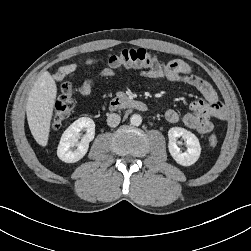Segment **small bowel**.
Segmentation results:
<instances>
[{"instance_id":"1","label":"small bowel","mask_w":251,"mask_h":251,"mask_svg":"<svg viewBox=\"0 0 251 251\" xmlns=\"http://www.w3.org/2000/svg\"><path fill=\"white\" fill-rule=\"evenodd\" d=\"M93 62L91 59L87 60L89 65ZM76 68L77 65L74 63L62 66L55 74L56 81H61ZM109 74V71H104L98 77L85 81L78 88L79 93L84 96L91 94L96 80ZM140 75L151 79L166 78L170 81L183 82L193 86L202 95L203 99L193 101L189 111L183 115L174 109L167 110L165 118L168 122L178 123L181 121L187 128L195 130L199 134H208L213 129V120L225 118V111L214 88L206 80L196 75L187 62L180 59L171 60L162 70L144 69Z\"/></svg>"}]
</instances>
